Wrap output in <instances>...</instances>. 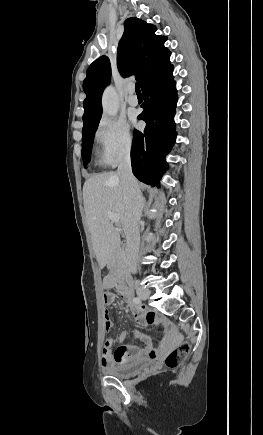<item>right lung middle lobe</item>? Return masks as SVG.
Returning a JSON list of instances; mask_svg holds the SVG:
<instances>
[{
  "instance_id": "1",
  "label": "right lung middle lobe",
  "mask_w": 263,
  "mask_h": 435,
  "mask_svg": "<svg viewBox=\"0 0 263 435\" xmlns=\"http://www.w3.org/2000/svg\"><path fill=\"white\" fill-rule=\"evenodd\" d=\"M99 122H97L95 125L83 129V135H82V158H83V163L85 165L88 164V162L90 161L91 158V149H92V144H93V140H94V136H95V132L97 130Z\"/></svg>"
}]
</instances>
